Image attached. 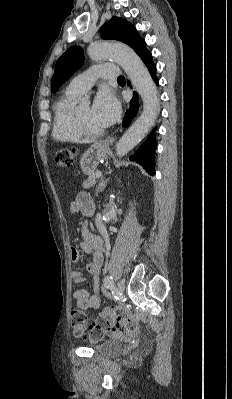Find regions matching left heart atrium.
I'll list each match as a JSON object with an SVG mask.
<instances>
[{
  "mask_svg": "<svg viewBox=\"0 0 232 399\" xmlns=\"http://www.w3.org/2000/svg\"><path fill=\"white\" fill-rule=\"evenodd\" d=\"M92 116L105 128L113 125L120 116L118 101L107 92L101 93L91 108Z\"/></svg>",
  "mask_w": 232,
  "mask_h": 399,
  "instance_id": "left-heart-atrium-1",
  "label": "left heart atrium"
}]
</instances>
